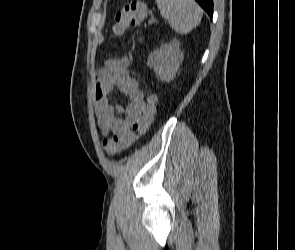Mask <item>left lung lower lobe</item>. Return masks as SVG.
<instances>
[{
    "label": "left lung lower lobe",
    "mask_w": 295,
    "mask_h": 250,
    "mask_svg": "<svg viewBox=\"0 0 295 250\" xmlns=\"http://www.w3.org/2000/svg\"><path fill=\"white\" fill-rule=\"evenodd\" d=\"M197 3L209 14L212 19L213 16V0H196Z\"/></svg>",
    "instance_id": "0a47b994"
}]
</instances>
